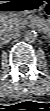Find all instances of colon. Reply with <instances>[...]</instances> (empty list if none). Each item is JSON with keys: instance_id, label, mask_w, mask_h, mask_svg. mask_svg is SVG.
<instances>
[{"instance_id": "colon-1", "label": "colon", "mask_w": 50, "mask_h": 111, "mask_svg": "<svg viewBox=\"0 0 50 111\" xmlns=\"http://www.w3.org/2000/svg\"><path fill=\"white\" fill-rule=\"evenodd\" d=\"M46 13H47V14L50 13V7H47Z\"/></svg>"}]
</instances>
